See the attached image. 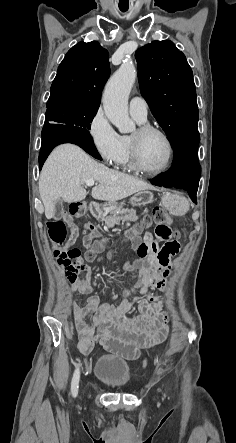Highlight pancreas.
I'll list each match as a JSON object with an SVG mask.
<instances>
[{
    "label": "pancreas",
    "instance_id": "obj_1",
    "mask_svg": "<svg viewBox=\"0 0 236 443\" xmlns=\"http://www.w3.org/2000/svg\"><path fill=\"white\" fill-rule=\"evenodd\" d=\"M107 227H114L116 224H119L121 221H137L138 216L136 215V211L134 209L128 208H120L116 211L111 212L109 216H105L102 218Z\"/></svg>",
    "mask_w": 236,
    "mask_h": 443
}]
</instances>
